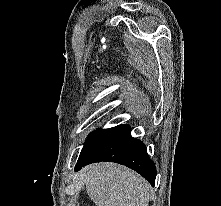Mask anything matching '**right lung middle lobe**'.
I'll return each instance as SVG.
<instances>
[{
	"instance_id": "1",
	"label": "right lung middle lobe",
	"mask_w": 221,
	"mask_h": 206,
	"mask_svg": "<svg viewBox=\"0 0 221 206\" xmlns=\"http://www.w3.org/2000/svg\"><path fill=\"white\" fill-rule=\"evenodd\" d=\"M108 129H104V130H97V131H93L87 138L84 147L80 153V156L89 148V146L97 139L99 138L105 131H107ZM79 156V157H80Z\"/></svg>"
}]
</instances>
